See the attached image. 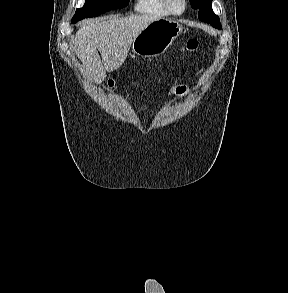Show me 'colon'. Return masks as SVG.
Segmentation results:
<instances>
[{
    "label": "colon",
    "instance_id": "colon-1",
    "mask_svg": "<svg viewBox=\"0 0 288 293\" xmlns=\"http://www.w3.org/2000/svg\"><path fill=\"white\" fill-rule=\"evenodd\" d=\"M199 45L200 42L197 39H190L186 42L183 49L189 53H194L198 49ZM109 85L113 87L114 84L112 81H110Z\"/></svg>",
    "mask_w": 288,
    "mask_h": 293
}]
</instances>
